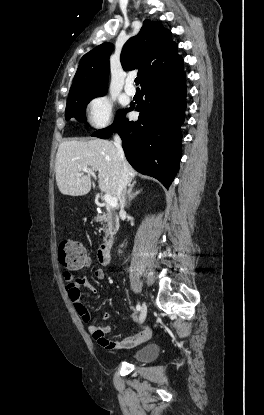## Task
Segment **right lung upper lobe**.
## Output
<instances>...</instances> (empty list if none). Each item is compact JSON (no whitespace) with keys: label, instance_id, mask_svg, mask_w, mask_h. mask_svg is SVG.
Returning a JSON list of instances; mask_svg holds the SVG:
<instances>
[{"label":"right lung upper lobe","instance_id":"right-lung-upper-lobe-1","mask_svg":"<svg viewBox=\"0 0 264 415\" xmlns=\"http://www.w3.org/2000/svg\"><path fill=\"white\" fill-rule=\"evenodd\" d=\"M177 47L171 38V31L165 29L160 21L145 20L139 34L125 43L121 64L124 70L139 69L138 76L143 87L183 71V58L179 56ZM112 48V44L103 43L81 58L69 97L106 92Z\"/></svg>","mask_w":264,"mask_h":415}]
</instances>
